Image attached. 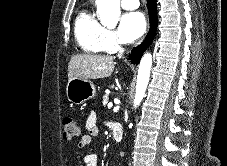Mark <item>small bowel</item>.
<instances>
[{
  "instance_id": "1",
  "label": "small bowel",
  "mask_w": 227,
  "mask_h": 166,
  "mask_svg": "<svg viewBox=\"0 0 227 166\" xmlns=\"http://www.w3.org/2000/svg\"><path fill=\"white\" fill-rule=\"evenodd\" d=\"M97 113L95 111L90 112L88 115L85 129L86 134H84L81 140L78 143L79 148H84L90 145L93 141V138L97 137L99 134V129L96 125L97 122ZM98 155L95 153H88L83 156V162L85 166H97Z\"/></svg>"
}]
</instances>
